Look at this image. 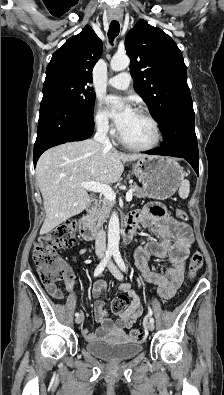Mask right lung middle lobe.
I'll list each match as a JSON object with an SVG mask.
<instances>
[{
	"instance_id": "1",
	"label": "right lung middle lobe",
	"mask_w": 224,
	"mask_h": 395,
	"mask_svg": "<svg viewBox=\"0 0 224 395\" xmlns=\"http://www.w3.org/2000/svg\"><path fill=\"white\" fill-rule=\"evenodd\" d=\"M43 97L60 101L77 111L93 114L95 92L86 82L59 74L46 76Z\"/></svg>"
}]
</instances>
